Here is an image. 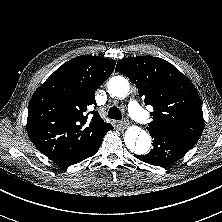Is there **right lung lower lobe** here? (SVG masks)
Masks as SVG:
<instances>
[{"label": "right lung lower lobe", "instance_id": "1", "mask_svg": "<svg viewBox=\"0 0 222 222\" xmlns=\"http://www.w3.org/2000/svg\"><path fill=\"white\" fill-rule=\"evenodd\" d=\"M110 130H111V129H110ZM103 137H104V136H102V137L94 144V146H93L90 150H88L87 152H85V153L82 154L81 156H79V157H77V158H75V159H72V160L60 162V163H58V164H60V165L63 166V167H68V166H70V165H73V164H76V163H78V162H81V161L85 160V159L88 158V157L93 156V155L98 151V149H99V147H100V145H101V143H102Z\"/></svg>", "mask_w": 222, "mask_h": 222}]
</instances>
